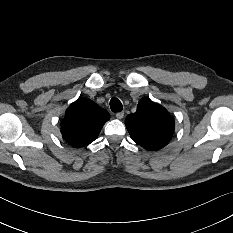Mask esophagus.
I'll use <instances>...</instances> for the list:
<instances>
[{"label":"esophagus","mask_w":233,"mask_h":233,"mask_svg":"<svg viewBox=\"0 0 233 233\" xmlns=\"http://www.w3.org/2000/svg\"><path fill=\"white\" fill-rule=\"evenodd\" d=\"M124 117V112L123 111H120L116 114V118L117 119H122Z\"/></svg>","instance_id":"obj_1"}]
</instances>
